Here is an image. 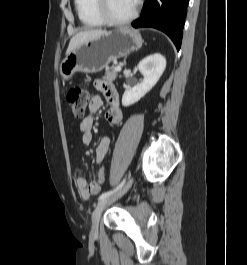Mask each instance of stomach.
<instances>
[{
	"instance_id": "stomach-1",
	"label": "stomach",
	"mask_w": 247,
	"mask_h": 265,
	"mask_svg": "<svg viewBox=\"0 0 247 265\" xmlns=\"http://www.w3.org/2000/svg\"><path fill=\"white\" fill-rule=\"evenodd\" d=\"M143 44L140 34L133 29L122 27L106 31L95 39L86 41L71 51L60 64L63 82L72 79L76 72L97 73Z\"/></svg>"
}]
</instances>
